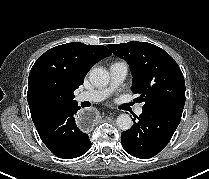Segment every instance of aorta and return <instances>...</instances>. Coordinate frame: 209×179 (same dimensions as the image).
I'll return each instance as SVG.
<instances>
[{"label": "aorta", "mask_w": 209, "mask_h": 179, "mask_svg": "<svg viewBox=\"0 0 209 179\" xmlns=\"http://www.w3.org/2000/svg\"><path fill=\"white\" fill-rule=\"evenodd\" d=\"M89 79L93 85L102 87L109 83L110 76L106 69L96 67L90 71ZM116 123L118 128L124 131L129 130L133 125L132 119L128 114L119 115L117 117Z\"/></svg>", "instance_id": "1"}]
</instances>
